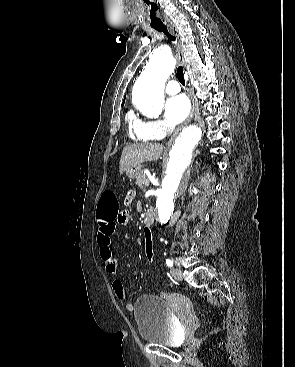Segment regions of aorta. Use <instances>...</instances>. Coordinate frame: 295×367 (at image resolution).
I'll use <instances>...</instances> for the list:
<instances>
[{
    "label": "aorta",
    "instance_id": "1",
    "mask_svg": "<svg viewBox=\"0 0 295 367\" xmlns=\"http://www.w3.org/2000/svg\"><path fill=\"white\" fill-rule=\"evenodd\" d=\"M171 54L156 52L136 81L132 100L145 116L158 117L164 105V86L175 68ZM202 137V129L190 125L177 136L170 150L165 175L157 196V215L161 225L166 224L174 211L175 198L191 163L192 153Z\"/></svg>",
    "mask_w": 295,
    "mask_h": 367
}]
</instances>
